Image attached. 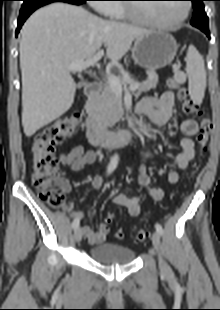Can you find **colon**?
<instances>
[{"instance_id": "obj_1", "label": "colon", "mask_w": 220, "mask_h": 310, "mask_svg": "<svg viewBox=\"0 0 220 310\" xmlns=\"http://www.w3.org/2000/svg\"><path fill=\"white\" fill-rule=\"evenodd\" d=\"M185 80V74L177 72L168 80V86L177 90L178 98L182 102V108L185 113L201 117L196 141L198 153L203 154L213 129V123L210 118L204 116L199 103L189 98L187 90L182 86ZM80 120L81 114L73 112L55 121L38 131L34 135L30 146L33 186L39 192L41 198L52 208H60L65 203L64 189L59 183L58 160L54 155V151L63 139L75 132ZM113 220L114 214L108 213L105 221L111 223ZM147 235L146 231L140 230L135 234L134 241L143 242ZM115 236L117 239H123L125 233L120 229Z\"/></svg>"}]
</instances>
